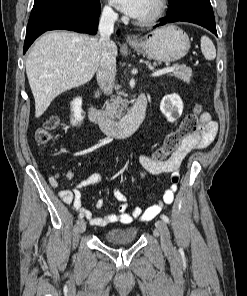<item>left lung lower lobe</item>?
Segmentation results:
<instances>
[{"mask_svg":"<svg viewBox=\"0 0 247 296\" xmlns=\"http://www.w3.org/2000/svg\"><path fill=\"white\" fill-rule=\"evenodd\" d=\"M177 21L201 25L217 35L215 18L210 0H186L176 9L168 10L167 16L161 19L159 25ZM157 26L158 25L155 27Z\"/></svg>","mask_w":247,"mask_h":296,"instance_id":"1","label":"left lung lower lobe"}]
</instances>
